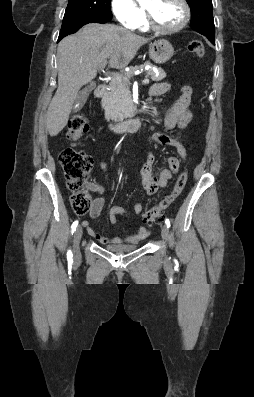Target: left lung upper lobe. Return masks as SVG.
I'll return each mask as SVG.
<instances>
[{"label":"left lung upper lobe","mask_w":254,"mask_h":397,"mask_svg":"<svg viewBox=\"0 0 254 397\" xmlns=\"http://www.w3.org/2000/svg\"><path fill=\"white\" fill-rule=\"evenodd\" d=\"M191 8V24L194 29L215 31L212 0H186Z\"/></svg>","instance_id":"left-lung-upper-lobe-1"}]
</instances>
